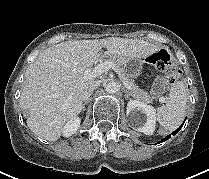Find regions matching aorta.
I'll list each match as a JSON object with an SVG mask.
<instances>
[{"mask_svg": "<svg viewBox=\"0 0 209 179\" xmlns=\"http://www.w3.org/2000/svg\"><path fill=\"white\" fill-rule=\"evenodd\" d=\"M118 90H119V85L114 81L109 82L105 86V91L110 94L116 93Z\"/></svg>", "mask_w": 209, "mask_h": 179, "instance_id": "1", "label": "aorta"}]
</instances>
